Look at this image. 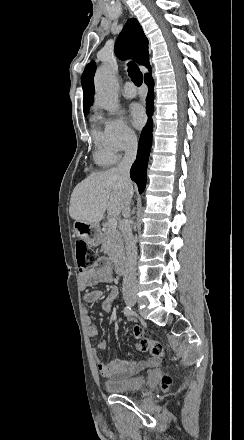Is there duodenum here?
<instances>
[{"mask_svg":"<svg viewBox=\"0 0 244 440\" xmlns=\"http://www.w3.org/2000/svg\"><path fill=\"white\" fill-rule=\"evenodd\" d=\"M115 270L118 274H123L125 271V264L123 258H117L115 261Z\"/></svg>","mask_w":244,"mask_h":440,"instance_id":"obj_1","label":"duodenum"}]
</instances>
